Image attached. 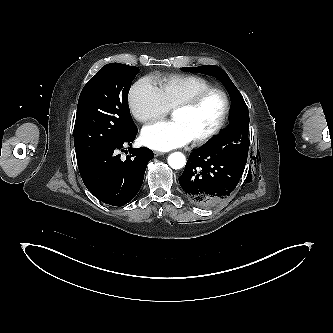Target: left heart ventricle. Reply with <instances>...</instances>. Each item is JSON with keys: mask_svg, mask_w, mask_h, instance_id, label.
Here are the masks:
<instances>
[{"mask_svg": "<svg viewBox=\"0 0 333 333\" xmlns=\"http://www.w3.org/2000/svg\"><path fill=\"white\" fill-rule=\"evenodd\" d=\"M224 109L223 98L219 94H211L199 106L192 110L175 111L173 121L181 123L192 140L212 130L221 118Z\"/></svg>", "mask_w": 333, "mask_h": 333, "instance_id": "1", "label": "left heart ventricle"}]
</instances>
